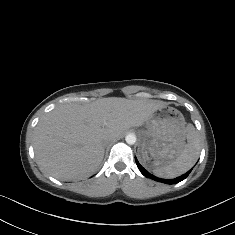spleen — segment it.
Here are the masks:
<instances>
[{"instance_id":"3e777b00","label":"spleen","mask_w":235,"mask_h":235,"mask_svg":"<svg viewBox=\"0 0 235 235\" xmlns=\"http://www.w3.org/2000/svg\"><path fill=\"white\" fill-rule=\"evenodd\" d=\"M188 144L184 151L175 160L158 166L153 173L161 178H174L188 171L195 164L199 156V139L193 125L187 126Z\"/></svg>"}]
</instances>
